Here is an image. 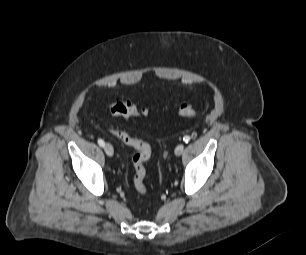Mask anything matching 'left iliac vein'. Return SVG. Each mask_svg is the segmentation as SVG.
I'll return each mask as SVG.
<instances>
[{
    "label": "left iliac vein",
    "mask_w": 306,
    "mask_h": 255,
    "mask_svg": "<svg viewBox=\"0 0 306 255\" xmlns=\"http://www.w3.org/2000/svg\"><path fill=\"white\" fill-rule=\"evenodd\" d=\"M184 151V145L183 144H179L176 148H175V155L176 156H180Z\"/></svg>",
    "instance_id": "1"
}]
</instances>
